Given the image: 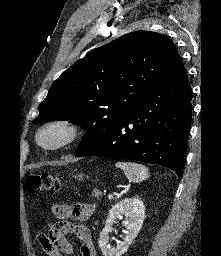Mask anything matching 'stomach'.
<instances>
[{"instance_id": "obj_1", "label": "stomach", "mask_w": 221, "mask_h": 256, "mask_svg": "<svg viewBox=\"0 0 221 256\" xmlns=\"http://www.w3.org/2000/svg\"><path fill=\"white\" fill-rule=\"evenodd\" d=\"M83 174H80V175H78V176H76V178H79V179H83Z\"/></svg>"}]
</instances>
